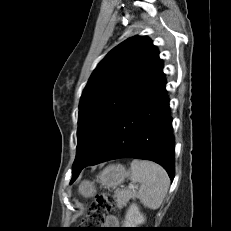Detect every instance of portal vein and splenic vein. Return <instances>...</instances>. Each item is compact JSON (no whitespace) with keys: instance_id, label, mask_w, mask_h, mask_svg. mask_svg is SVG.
<instances>
[{"instance_id":"1","label":"portal vein and splenic vein","mask_w":231,"mask_h":231,"mask_svg":"<svg viewBox=\"0 0 231 231\" xmlns=\"http://www.w3.org/2000/svg\"><path fill=\"white\" fill-rule=\"evenodd\" d=\"M129 188H132V189L137 188V185L130 184V185H129Z\"/></svg>"}]
</instances>
